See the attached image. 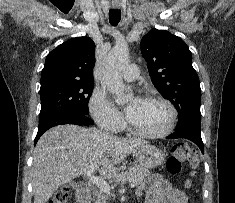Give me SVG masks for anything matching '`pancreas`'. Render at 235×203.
Listing matches in <instances>:
<instances>
[{
	"label": "pancreas",
	"mask_w": 235,
	"mask_h": 203,
	"mask_svg": "<svg viewBox=\"0 0 235 203\" xmlns=\"http://www.w3.org/2000/svg\"><path fill=\"white\" fill-rule=\"evenodd\" d=\"M150 170L140 165L131 166L127 171L119 174L116 178L117 181L121 182H134L135 184H141L144 178L150 175ZM108 196L102 192L97 193L93 197V203H107Z\"/></svg>",
	"instance_id": "pancreas-1"
}]
</instances>
